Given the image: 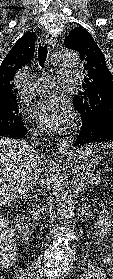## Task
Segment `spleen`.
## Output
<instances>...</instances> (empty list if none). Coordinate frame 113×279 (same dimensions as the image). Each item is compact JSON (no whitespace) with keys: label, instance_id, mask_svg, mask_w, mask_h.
<instances>
[{"label":"spleen","instance_id":"3e777b00","mask_svg":"<svg viewBox=\"0 0 113 279\" xmlns=\"http://www.w3.org/2000/svg\"><path fill=\"white\" fill-rule=\"evenodd\" d=\"M107 147L112 148L113 149V142H110L108 144H105Z\"/></svg>","mask_w":113,"mask_h":279}]
</instances>
